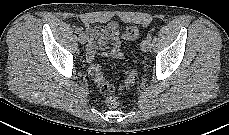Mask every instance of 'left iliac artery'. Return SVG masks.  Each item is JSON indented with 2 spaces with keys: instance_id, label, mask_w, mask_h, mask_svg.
Instances as JSON below:
<instances>
[{
  "instance_id": "1",
  "label": "left iliac artery",
  "mask_w": 229,
  "mask_h": 135,
  "mask_svg": "<svg viewBox=\"0 0 229 135\" xmlns=\"http://www.w3.org/2000/svg\"><path fill=\"white\" fill-rule=\"evenodd\" d=\"M152 37H153V35H152V34H148V35H147V39H149V40H151V39H152Z\"/></svg>"
}]
</instances>
